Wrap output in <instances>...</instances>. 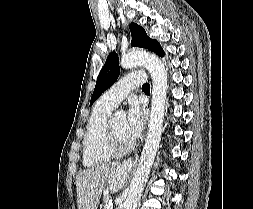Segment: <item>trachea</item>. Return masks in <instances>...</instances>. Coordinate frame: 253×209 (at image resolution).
<instances>
[{"mask_svg":"<svg viewBox=\"0 0 253 209\" xmlns=\"http://www.w3.org/2000/svg\"><path fill=\"white\" fill-rule=\"evenodd\" d=\"M148 89V88H150V85L148 84V83H146V84H144L143 86H142V89Z\"/></svg>","mask_w":253,"mask_h":209,"instance_id":"obj_1","label":"trachea"}]
</instances>
